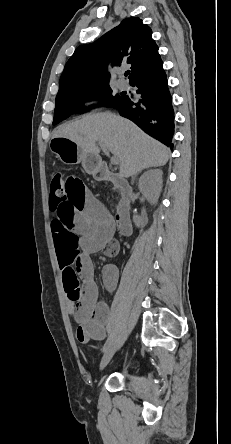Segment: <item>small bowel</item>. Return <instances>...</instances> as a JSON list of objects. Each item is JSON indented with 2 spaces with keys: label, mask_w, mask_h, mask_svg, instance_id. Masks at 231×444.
<instances>
[{
  "label": "small bowel",
  "mask_w": 231,
  "mask_h": 444,
  "mask_svg": "<svg viewBox=\"0 0 231 444\" xmlns=\"http://www.w3.org/2000/svg\"><path fill=\"white\" fill-rule=\"evenodd\" d=\"M50 209L55 214L51 231L67 296V310L77 326V339L82 344L103 340L111 312L108 305L99 300L89 255L100 251L107 257L117 255L119 244L113 238L112 219L76 176L67 178L63 199L51 198ZM118 278L115 265L103 267L102 280L108 291L115 290Z\"/></svg>",
  "instance_id": "small-bowel-1"
}]
</instances>
